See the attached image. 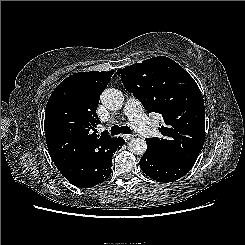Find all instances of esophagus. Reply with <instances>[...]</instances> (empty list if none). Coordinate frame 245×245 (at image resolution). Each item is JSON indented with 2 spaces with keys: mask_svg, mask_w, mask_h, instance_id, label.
<instances>
[{
  "mask_svg": "<svg viewBox=\"0 0 245 245\" xmlns=\"http://www.w3.org/2000/svg\"><path fill=\"white\" fill-rule=\"evenodd\" d=\"M134 137H135L134 134H127V135H124V139H125L126 141H129V140L133 139Z\"/></svg>",
  "mask_w": 245,
  "mask_h": 245,
  "instance_id": "esophagus-1",
  "label": "esophagus"
}]
</instances>
